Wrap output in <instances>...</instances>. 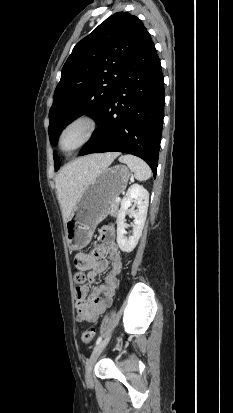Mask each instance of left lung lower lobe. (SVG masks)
<instances>
[{
  "mask_svg": "<svg viewBox=\"0 0 233 413\" xmlns=\"http://www.w3.org/2000/svg\"><path fill=\"white\" fill-rule=\"evenodd\" d=\"M164 98L160 59L147 32L116 83L97 131L79 155L133 154L142 158L156 176Z\"/></svg>",
  "mask_w": 233,
  "mask_h": 413,
  "instance_id": "1",
  "label": "left lung lower lobe"
}]
</instances>
